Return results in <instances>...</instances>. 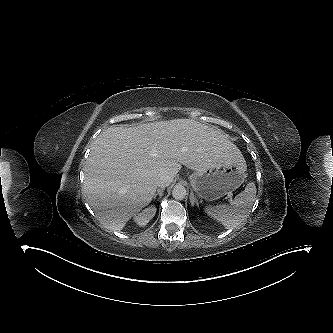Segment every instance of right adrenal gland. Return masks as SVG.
Instances as JSON below:
<instances>
[{"mask_svg":"<svg viewBox=\"0 0 333 333\" xmlns=\"http://www.w3.org/2000/svg\"><path fill=\"white\" fill-rule=\"evenodd\" d=\"M164 190L165 188L158 189L153 198L155 199L157 195H159V197L162 198Z\"/></svg>","mask_w":333,"mask_h":333,"instance_id":"right-adrenal-gland-1","label":"right adrenal gland"}]
</instances>
